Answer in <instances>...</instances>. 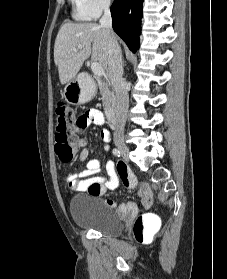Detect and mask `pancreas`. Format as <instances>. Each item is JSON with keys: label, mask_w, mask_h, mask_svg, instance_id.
Returning <instances> with one entry per match:
<instances>
[{"label": "pancreas", "mask_w": 227, "mask_h": 279, "mask_svg": "<svg viewBox=\"0 0 227 279\" xmlns=\"http://www.w3.org/2000/svg\"><path fill=\"white\" fill-rule=\"evenodd\" d=\"M96 80L99 86L100 94L102 95L103 106L105 109H108L115 102L114 94L111 89V84L107 81H103L98 76L96 77Z\"/></svg>", "instance_id": "obj_1"}]
</instances>
